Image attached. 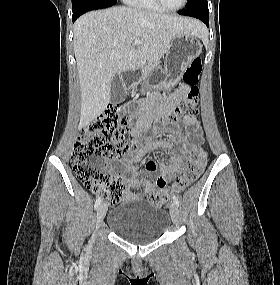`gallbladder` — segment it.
Listing matches in <instances>:
<instances>
[{
  "instance_id": "bac80fb5",
  "label": "gallbladder",
  "mask_w": 280,
  "mask_h": 285,
  "mask_svg": "<svg viewBox=\"0 0 280 285\" xmlns=\"http://www.w3.org/2000/svg\"><path fill=\"white\" fill-rule=\"evenodd\" d=\"M126 98V90L124 83L122 82L120 75L115 74L112 82H111V103L118 104L125 100Z\"/></svg>"
}]
</instances>
